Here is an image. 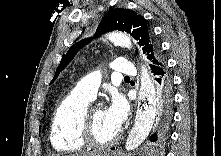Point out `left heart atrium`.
<instances>
[{"mask_svg":"<svg viewBox=\"0 0 221 156\" xmlns=\"http://www.w3.org/2000/svg\"><path fill=\"white\" fill-rule=\"evenodd\" d=\"M128 110V104L123 97L113 96L105 110L107 121L118 131L127 118Z\"/></svg>","mask_w":221,"mask_h":156,"instance_id":"obj_1","label":"left heart atrium"}]
</instances>
